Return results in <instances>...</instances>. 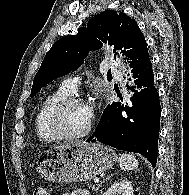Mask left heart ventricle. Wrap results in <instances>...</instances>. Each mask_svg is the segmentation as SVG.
<instances>
[{
	"label": "left heart ventricle",
	"instance_id": "left-heart-ventricle-1",
	"mask_svg": "<svg viewBox=\"0 0 189 195\" xmlns=\"http://www.w3.org/2000/svg\"><path fill=\"white\" fill-rule=\"evenodd\" d=\"M91 119L89 106L86 104H75L63 115L62 127L69 134L82 132Z\"/></svg>",
	"mask_w": 189,
	"mask_h": 195
}]
</instances>
